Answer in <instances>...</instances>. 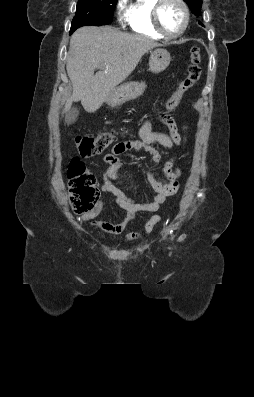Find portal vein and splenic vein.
Instances as JSON below:
<instances>
[{
  "instance_id": "18ae733b",
  "label": "portal vein and splenic vein",
  "mask_w": 254,
  "mask_h": 397,
  "mask_svg": "<svg viewBox=\"0 0 254 397\" xmlns=\"http://www.w3.org/2000/svg\"><path fill=\"white\" fill-rule=\"evenodd\" d=\"M102 67H104V65H100L98 68H99V69H102Z\"/></svg>"
}]
</instances>
